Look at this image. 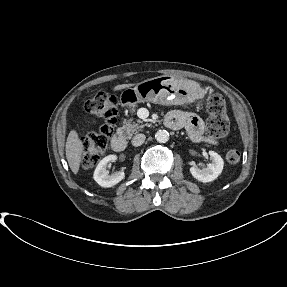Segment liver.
<instances>
[{
  "label": "liver",
  "instance_id": "1",
  "mask_svg": "<svg viewBox=\"0 0 287 287\" xmlns=\"http://www.w3.org/2000/svg\"><path fill=\"white\" fill-rule=\"evenodd\" d=\"M133 85L134 84H120L115 86L113 90L118 91ZM65 149L69 167L74 174H77L82 160L83 145L76 130H71L68 134Z\"/></svg>",
  "mask_w": 287,
  "mask_h": 287
}]
</instances>
